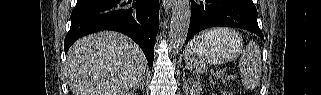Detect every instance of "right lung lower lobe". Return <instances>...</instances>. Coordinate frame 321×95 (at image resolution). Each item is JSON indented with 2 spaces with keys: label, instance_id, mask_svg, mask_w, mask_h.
<instances>
[{
  "label": "right lung lower lobe",
  "instance_id": "1",
  "mask_svg": "<svg viewBox=\"0 0 321 95\" xmlns=\"http://www.w3.org/2000/svg\"><path fill=\"white\" fill-rule=\"evenodd\" d=\"M134 1V0H133ZM77 0L71 27L64 41L67 53L80 37L100 30L121 32L134 40L153 66L154 43L159 28V0Z\"/></svg>",
  "mask_w": 321,
  "mask_h": 95
}]
</instances>
